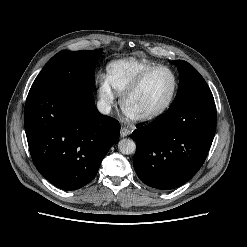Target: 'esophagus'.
Here are the masks:
<instances>
[{
	"instance_id": "obj_1",
	"label": "esophagus",
	"mask_w": 247,
	"mask_h": 247,
	"mask_svg": "<svg viewBox=\"0 0 247 247\" xmlns=\"http://www.w3.org/2000/svg\"><path fill=\"white\" fill-rule=\"evenodd\" d=\"M131 133V131L127 127H121L120 135L121 137H126Z\"/></svg>"
}]
</instances>
